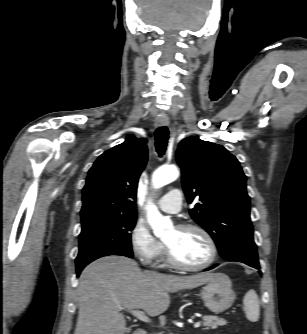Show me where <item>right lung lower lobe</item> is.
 I'll return each mask as SVG.
<instances>
[{
  "instance_id": "right-lung-lower-lobe-1",
  "label": "right lung lower lobe",
  "mask_w": 307,
  "mask_h": 334,
  "mask_svg": "<svg viewBox=\"0 0 307 334\" xmlns=\"http://www.w3.org/2000/svg\"><path fill=\"white\" fill-rule=\"evenodd\" d=\"M122 256H125V255H122ZM83 268H80V269H77V276L80 275L81 271H82Z\"/></svg>"
}]
</instances>
